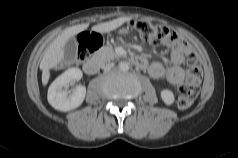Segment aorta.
<instances>
[{
	"instance_id": "1",
	"label": "aorta",
	"mask_w": 238,
	"mask_h": 158,
	"mask_svg": "<svg viewBox=\"0 0 238 158\" xmlns=\"http://www.w3.org/2000/svg\"><path fill=\"white\" fill-rule=\"evenodd\" d=\"M129 68H130L129 63H127V62H120V63H119V69H120L121 71L127 72V71L129 70Z\"/></svg>"
}]
</instances>
